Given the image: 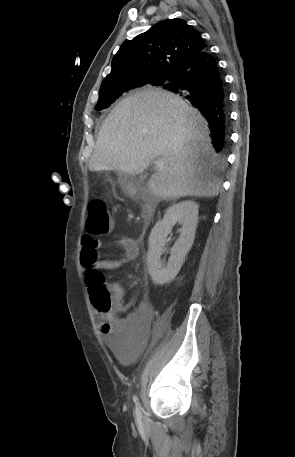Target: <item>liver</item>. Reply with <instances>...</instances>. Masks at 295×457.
Segmentation results:
<instances>
[{"instance_id": "obj_1", "label": "liver", "mask_w": 295, "mask_h": 457, "mask_svg": "<svg viewBox=\"0 0 295 457\" xmlns=\"http://www.w3.org/2000/svg\"><path fill=\"white\" fill-rule=\"evenodd\" d=\"M156 158L165 164L148 182L155 196L218 195L217 155L205 118L171 92L145 90L120 101L104 120L89 170L136 175Z\"/></svg>"}]
</instances>
